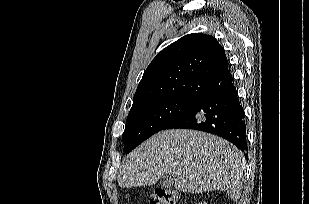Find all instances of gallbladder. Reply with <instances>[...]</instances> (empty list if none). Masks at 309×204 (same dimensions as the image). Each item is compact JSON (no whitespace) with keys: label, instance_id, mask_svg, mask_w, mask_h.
<instances>
[{"label":"gallbladder","instance_id":"1","mask_svg":"<svg viewBox=\"0 0 309 204\" xmlns=\"http://www.w3.org/2000/svg\"><path fill=\"white\" fill-rule=\"evenodd\" d=\"M160 182H161V185H163L164 187H167V188H169L173 185V179L169 175L163 176Z\"/></svg>","mask_w":309,"mask_h":204}]
</instances>
